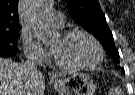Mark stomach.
<instances>
[{
    "instance_id": "1",
    "label": "stomach",
    "mask_w": 135,
    "mask_h": 95,
    "mask_svg": "<svg viewBox=\"0 0 135 95\" xmlns=\"http://www.w3.org/2000/svg\"><path fill=\"white\" fill-rule=\"evenodd\" d=\"M54 88L60 95H94L96 90L93 80L82 72L56 80Z\"/></svg>"
}]
</instances>
